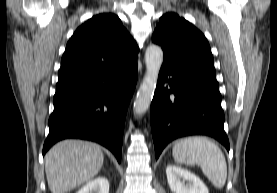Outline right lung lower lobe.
Wrapping results in <instances>:
<instances>
[{
    "label": "right lung lower lobe",
    "instance_id": "98d812e1",
    "mask_svg": "<svg viewBox=\"0 0 277 193\" xmlns=\"http://www.w3.org/2000/svg\"><path fill=\"white\" fill-rule=\"evenodd\" d=\"M137 82V57L107 71L56 84L43 155L56 142L79 138L108 148L121 161L127 108Z\"/></svg>",
    "mask_w": 277,
    "mask_h": 193
}]
</instances>
